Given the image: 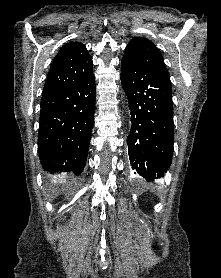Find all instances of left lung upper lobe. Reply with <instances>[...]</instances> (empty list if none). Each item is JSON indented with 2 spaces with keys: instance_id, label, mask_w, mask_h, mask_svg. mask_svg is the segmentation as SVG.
Here are the masks:
<instances>
[{
  "instance_id": "obj_1",
  "label": "left lung upper lobe",
  "mask_w": 221,
  "mask_h": 278,
  "mask_svg": "<svg viewBox=\"0 0 221 278\" xmlns=\"http://www.w3.org/2000/svg\"><path fill=\"white\" fill-rule=\"evenodd\" d=\"M121 67L138 72L159 71L169 76L161 53L151 41L143 37L134 38L129 42Z\"/></svg>"
}]
</instances>
